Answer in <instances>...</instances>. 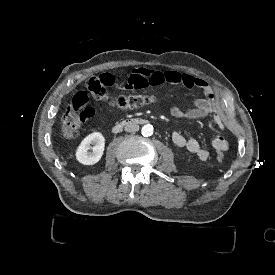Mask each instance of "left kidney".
<instances>
[{"label": "left kidney", "instance_id": "5707ae66", "mask_svg": "<svg viewBox=\"0 0 275 275\" xmlns=\"http://www.w3.org/2000/svg\"><path fill=\"white\" fill-rule=\"evenodd\" d=\"M186 162H187L188 165L191 164V160L189 158L186 160Z\"/></svg>", "mask_w": 275, "mask_h": 275}]
</instances>
